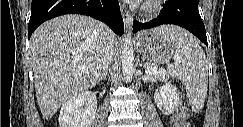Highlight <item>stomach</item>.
Instances as JSON below:
<instances>
[{"label":"stomach","mask_w":243,"mask_h":127,"mask_svg":"<svg viewBox=\"0 0 243 127\" xmlns=\"http://www.w3.org/2000/svg\"><path fill=\"white\" fill-rule=\"evenodd\" d=\"M166 27L143 31L138 35L137 48L143 58L155 64H165L174 57L173 42L164 33Z\"/></svg>","instance_id":"stomach-1"}]
</instances>
